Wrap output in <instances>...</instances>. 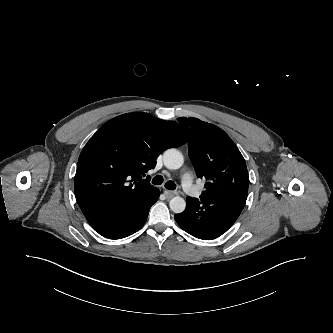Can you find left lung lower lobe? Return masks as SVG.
I'll list each match as a JSON object with an SVG mask.
<instances>
[{"label": "left lung lower lobe", "mask_w": 333, "mask_h": 333, "mask_svg": "<svg viewBox=\"0 0 333 333\" xmlns=\"http://www.w3.org/2000/svg\"><path fill=\"white\" fill-rule=\"evenodd\" d=\"M248 183L222 187L200 200L187 197L186 209L175 214L178 225L194 237L211 240L225 233L244 208Z\"/></svg>", "instance_id": "1"}]
</instances>
